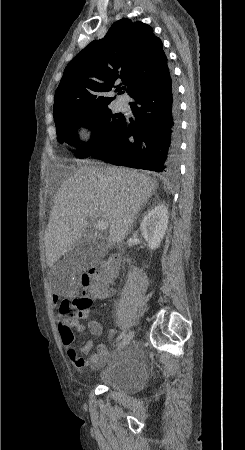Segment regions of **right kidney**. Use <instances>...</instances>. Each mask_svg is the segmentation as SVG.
Returning a JSON list of instances; mask_svg holds the SVG:
<instances>
[{
  "mask_svg": "<svg viewBox=\"0 0 245 450\" xmlns=\"http://www.w3.org/2000/svg\"><path fill=\"white\" fill-rule=\"evenodd\" d=\"M168 225V209L165 205L152 208L143 218L140 230L151 250H155L165 235Z\"/></svg>",
  "mask_w": 245,
  "mask_h": 450,
  "instance_id": "right-kidney-1",
  "label": "right kidney"
}]
</instances>
